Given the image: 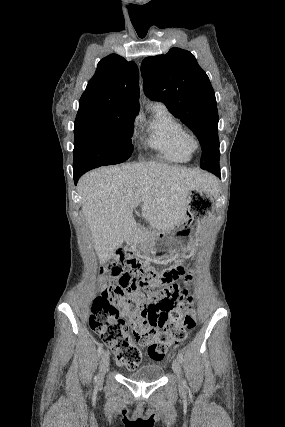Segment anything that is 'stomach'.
Wrapping results in <instances>:
<instances>
[{
	"instance_id": "1",
	"label": "stomach",
	"mask_w": 285,
	"mask_h": 427,
	"mask_svg": "<svg viewBox=\"0 0 285 427\" xmlns=\"http://www.w3.org/2000/svg\"><path fill=\"white\" fill-rule=\"evenodd\" d=\"M215 209L213 194L201 188L188 193L183 220L167 232L150 237L147 249L153 257L162 258L190 244L204 224L211 219Z\"/></svg>"
}]
</instances>
